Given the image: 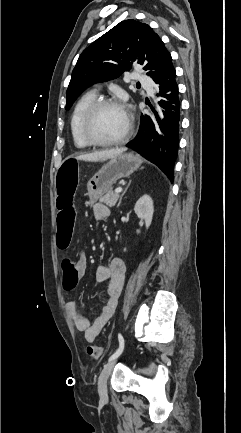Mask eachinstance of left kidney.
Here are the masks:
<instances>
[{
  "instance_id": "5707ae66",
  "label": "left kidney",
  "mask_w": 241,
  "mask_h": 433,
  "mask_svg": "<svg viewBox=\"0 0 241 433\" xmlns=\"http://www.w3.org/2000/svg\"><path fill=\"white\" fill-rule=\"evenodd\" d=\"M134 211L138 218L145 221L146 228L151 225L154 206L153 200L149 195H143L135 204Z\"/></svg>"
}]
</instances>
